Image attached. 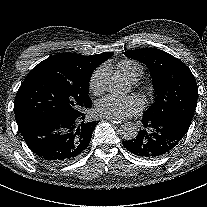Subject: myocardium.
Returning <instances> with one entry per match:
<instances>
[{
	"label": "myocardium",
	"instance_id": "1",
	"mask_svg": "<svg viewBox=\"0 0 207 207\" xmlns=\"http://www.w3.org/2000/svg\"><path fill=\"white\" fill-rule=\"evenodd\" d=\"M154 88L152 86H148L145 88V91L149 94H151L153 92Z\"/></svg>",
	"mask_w": 207,
	"mask_h": 207
}]
</instances>
